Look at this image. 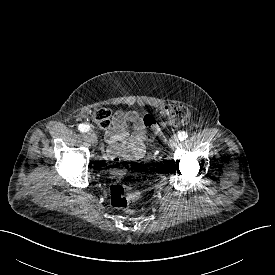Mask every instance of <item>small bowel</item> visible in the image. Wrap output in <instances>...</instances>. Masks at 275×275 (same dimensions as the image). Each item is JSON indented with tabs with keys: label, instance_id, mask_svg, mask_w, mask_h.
<instances>
[{
	"label": "small bowel",
	"instance_id": "obj_1",
	"mask_svg": "<svg viewBox=\"0 0 275 275\" xmlns=\"http://www.w3.org/2000/svg\"><path fill=\"white\" fill-rule=\"evenodd\" d=\"M148 117L151 116L137 111L118 110L114 114L112 124L105 132V141L108 144L106 153L109 158H134L142 155L147 137L145 121ZM129 126H132V132L129 131Z\"/></svg>",
	"mask_w": 275,
	"mask_h": 275
}]
</instances>
